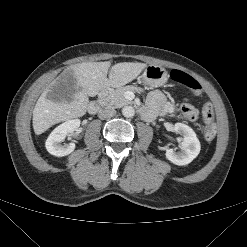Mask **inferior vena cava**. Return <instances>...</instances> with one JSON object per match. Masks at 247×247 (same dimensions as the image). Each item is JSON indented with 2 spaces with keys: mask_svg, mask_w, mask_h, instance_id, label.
Masks as SVG:
<instances>
[{
  "mask_svg": "<svg viewBox=\"0 0 247 247\" xmlns=\"http://www.w3.org/2000/svg\"><path fill=\"white\" fill-rule=\"evenodd\" d=\"M115 115H116V110L113 108H104V109H101L98 113V117L100 119L110 118Z\"/></svg>",
  "mask_w": 247,
  "mask_h": 247,
  "instance_id": "obj_1",
  "label": "inferior vena cava"
}]
</instances>
